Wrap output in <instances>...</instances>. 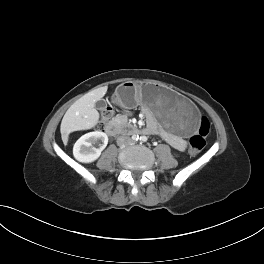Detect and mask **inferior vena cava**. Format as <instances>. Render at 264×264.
Masks as SVG:
<instances>
[{"label":"inferior vena cava","mask_w":264,"mask_h":264,"mask_svg":"<svg viewBox=\"0 0 264 264\" xmlns=\"http://www.w3.org/2000/svg\"><path fill=\"white\" fill-rule=\"evenodd\" d=\"M117 143L119 146H123L124 144H129V143H131V138L127 137V136H120L117 139Z\"/></svg>","instance_id":"inferior-vena-cava-1"}]
</instances>
